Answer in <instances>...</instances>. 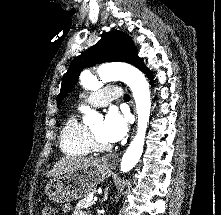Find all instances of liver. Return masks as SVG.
Instances as JSON below:
<instances>
[{"mask_svg":"<svg viewBox=\"0 0 221 215\" xmlns=\"http://www.w3.org/2000/svg\"><path fill=\"white\" fill-rule=\"evenodd\" d=\"M95 159L84 157L66 156L58 160L52 170L48 172V177H58L63 174H68L79 169H83L93 163Z\"/></svg>","mask_w":221,"mask_h":215,"instance_id":"obj_1","label":"liver"}]
</instances>
